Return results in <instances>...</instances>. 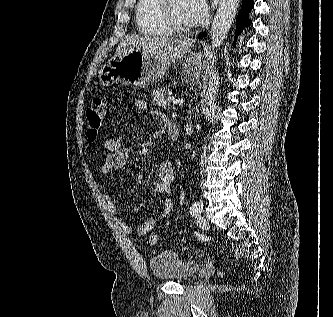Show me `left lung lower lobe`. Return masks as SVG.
Instances as JSON below:
<instances>
[{"label": "left lung lower lobe", "instance_id": "1", "mask_svg": "<svg viewBox=\"0 0 333 317\" xmlns=\"http://www.w3.org/2000/svg\"><path fill=\"white\" fill-rule=\"evenodd\" d=\"M254 7V2L252 0H242L241 9L239 15L236 20V31H235V38L233 46H236V39L238 35L243 31V29L247 26H250L252 21L249 19V13ZM206 35V31L202 32L198 38L202 39Z\"/></svg>", "mask_w": 333, "mask_h": 317}]
</instances>
